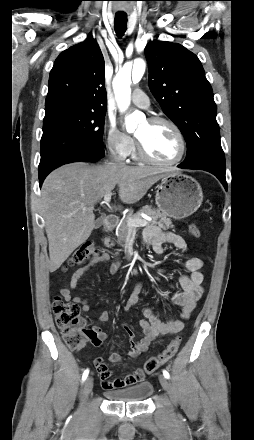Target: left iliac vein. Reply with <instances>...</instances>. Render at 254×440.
<instances>
[{"label":"left iliac vein","mask_w":254,"mask_h":440,"mask_svg":"<svg viewBox=\"0 0 254 440\" xmlns=\"http://www.w3.org/2000/svg\"><path fill=\"white\" fill-rule=\"evenodd\" d=\"M159 381L163 387V389L167 392V394H170L171 392V385L167 378H165L163 375H159Z\"/></svg>","instance_id":"left-iliac-vein-1"}]
</instances>
